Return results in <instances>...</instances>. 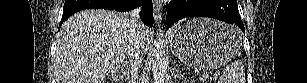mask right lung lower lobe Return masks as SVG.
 Wrapping results in <instances>:
<instances>
[{"instance_id": "right-lung-lower-lobe-1", "label": "right lung lower lobe", "mask_w": 307, "mask_h": 83, "mask_svg": "<svg viewBox=\"0 0 307 83\" xmlns=\"http://www.w3.org/2000/svg\"><path fill=\"white\" fill-rule=\"evenodd\" d=\"M140 5L143 6V11L140 12L141 20L152 27V0H65L60 26L69 16L84 9L129 11Z\"/></svg>"}]
</instances>
